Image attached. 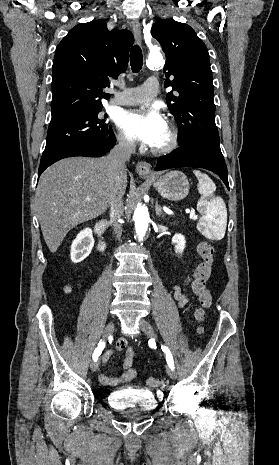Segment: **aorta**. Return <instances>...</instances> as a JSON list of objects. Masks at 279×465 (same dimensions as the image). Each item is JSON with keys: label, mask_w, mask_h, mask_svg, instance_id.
Wrapping results in <instances>:
<instances>
[{"label": "aorta", "mask_w": 279, "mask_h": 465, "mask_svg": "<svg viewBox=\"0 0 279 465\" xmlns=\"http://www.w3.org/2000/svg\"><path fill=\"white\" fill-rule=\"evenodd\" d=\"M163 62L164 60L160 53L151 54L149 56V66L161 64ZM133 219L135 221L136 236L141 240L147 232L150 221L148 208L143 205H138L134 211Z\"/></svg>", "instance_id": "1"}]
</instances>
